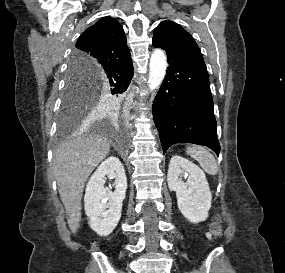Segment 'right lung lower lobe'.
I'll use <instances>...</instances> for the list:
<instances>
[{"mask_svg": "<svg viewBox=\"0 0 285 273\" xmlns=\"http://www.w3.org/2000/svg\"><path fill=\"white\" fill-rule=\"evenodd\" d=\"M133 64L131 56L126 60L111 65H105L93 74L94 85L112 95L121 94L127 90L133 77ZM116 103L106 104L113 109Z\"/></svg>", "mask_w": 285, "mask_h": 273, "instance_id": "obj_1", "label": "right lung lower lobe"}]
</instances>
